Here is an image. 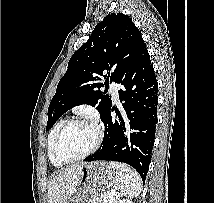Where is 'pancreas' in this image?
Listing matches in <instances>:
<instances>
[{"instance_id":"cf45deb5","label":"pancreas","mask_w":214,"mask_h":203,"mask_svg":"<svg viewBox=\"0 0 214 203\" xmlns=\"http://www.w3.org/2000/svg\"><path fill=\"white\" fill-rule=\"evenodd\" d=\"M109 194H110V193H107V194L103 197L102 203H116L115 198H113V199L109 198Z\"/></svg>"}]
</instances>
